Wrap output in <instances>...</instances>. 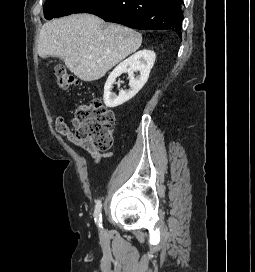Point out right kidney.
<instances>
[{"instance_id":"obj_1","label":"right kidney","mask_w":255,"mask_h":272,"mask_svg":"<svg viewBox=\"0 0 255 272\" xmlns=\"http://www.w3.org/2000/svg\"><path fill=\"white\" fill-rule=\"evenodd\" d=\"M156 55L151 50H140L121 62L109 75L104 86V103L107 107L115 108L134 97L147 82L150 70L155 62ZM140 72V75L135 78L134 72ZM127 72L129 76L130 89L119 92L116 96L111 93L112 85L116 78Z\"/></svg>"}]
</instances>
